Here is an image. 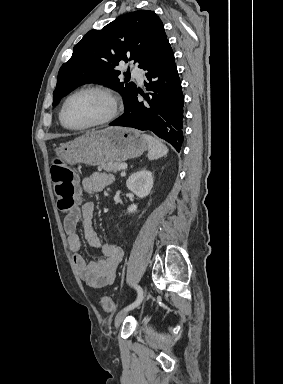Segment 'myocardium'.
I'll use <instances>...</instances> for the list:
<instances>
[{"mask_svg":"<svg viewBox=\"0 0 283 384\" xmlns=\"http://www.w3.org/2000/svg\"><path fill=\"white\" fill-rule=\"evenodd\" d=\"M89 92L99 94L107 100L108 106H109L108 112L103 117H101L98 120H95L89 124L79 126V127L68 126L64 120V111H65L67 103L74 96H77V95L82 94V93H89ZM118 112H119L118 100H117L116 96L114 95V93L109 88L99 86V85H90V86L81 87V88L73 91L72 93H70L65 98V100L61 106L59 118H60V122H61L62 126L65 129L70 130V131H84V130L99 127V126H102V125H105V124L112 122L117 117Z\"/></svg>","mask_w":283,"mask_h":384,"instance_id":"myocardium-1","label":"myocardium"}]
</instances>
